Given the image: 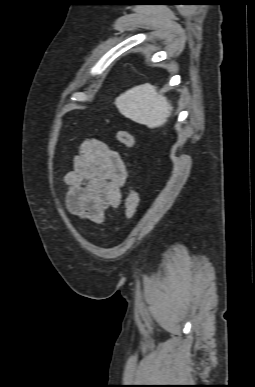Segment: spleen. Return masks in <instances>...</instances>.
<instances>
[{"instance_id":"spleen-1","label":"spleen","mask_w":255,"mask_h":387,"mask_svg":"<svg viewBox=\"0 0 255 387\" xmlns=\"http://www.w3.org/2000/svg\"><path fill=\"white\" fill-rule=\"evenodd\" d=\"M115 105L126 118L149 128L166 123L173 110L167 98L148 83L127 90L115 99Z\"/></svg>"}]
</instances>
